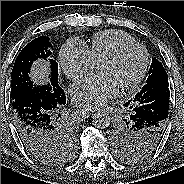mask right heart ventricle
I'll use <instances>...</instances> for the list:
<instances>
[{
    "label": "right heart ventricle",
    "mask_w": 184,
    "mask_h": 184,
    "mask_svg": "<svg viewBox=\"0 0 184 184\" xmlns=\"http://www.w3.org/2000/svg\"><path fill=\"white\" fill-rule=\"evenodd\" d=\"M132 42H135V40L127 33L117 30H105L92 36L88 48L92 60L94 63H98L121 45Z\"/></svg>",
    "instance_id": "1"
}]
</instances>
